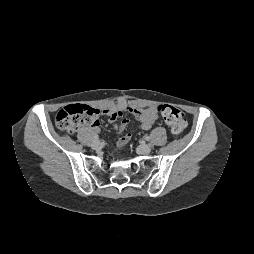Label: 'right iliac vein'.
Returning a JSON list of instances; mask_svg holds the SVG:
<instances>
[{"instance_id":"obj_1","label":"right iliac vein","mask_w":254,"mask_h":254,"mask_svg":"<svg viewBox=\"0 0 254 254\" xmlns=\"http://www.w3.org/2000/svg\"><path fill=\"white\" fill-rule=\"evenodd\" d=\"M91 146L93 149H98L101 146V142L99 140H95Z\"/></svg>"}]
</instances>
